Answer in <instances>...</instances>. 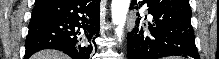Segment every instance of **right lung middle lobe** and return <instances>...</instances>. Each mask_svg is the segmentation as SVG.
<instances>
[{
  "instance_id": "1",
  "label": "right lung middle lobe",
  "mask_w": 219,
  "mask_h": 59,
  "mask_svg": "<svg viewBox=\"0 0 219 59\" xmlns=\"http://www.w3.org/2000/svg\"><path fill=\"white\" fill-rule=\"evenodd\" d=\"M41 19V16H33L31 17V21H36V20H39Z\"/></svg>"
}]
</instances>
